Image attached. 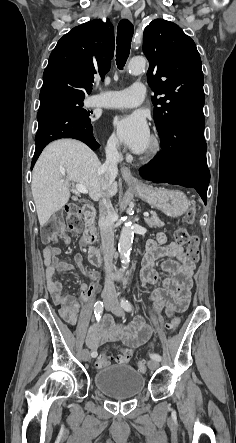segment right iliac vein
<instances>
[{"label":"right iliac vein","instance_id":"63e3f726","mask_svg":"<svg viewBox=\"0 0 236 443\" xmlns=\"http://www.w3.org/2000/svg\"><path fill=\"white\" fill-rule=\"evenodd\" d=\"M104 307H105L106 310H110L113 307V304L106 303L104 305ZM80 355H81V358H82L83 361H89L90 360V352H89L88 349H83L81 351Z\"/></svg>","mask_w":236,"mask_h":443}]
</instances>
